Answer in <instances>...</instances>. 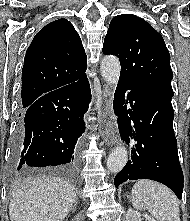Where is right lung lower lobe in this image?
Here are the masks:
<instances>
[{
    "mask_svg": "<svg viewBox=\"0 0 190 221\" xmlns=\"http://www.w3.org/2000/svg\"><path fill=\"white\" fill-rule=\"evenodd\" d=\"M91 99L86 77L50 91L19 114L12 166L28 170L73 163Z\"/></svg>",
    "mask_w": 190,
    "mask_h": 221,
    "instance_id": "right-lung-lower-lobe-1",
    "label": "right lung lower lobe"
}]
</instances>
